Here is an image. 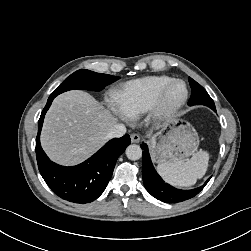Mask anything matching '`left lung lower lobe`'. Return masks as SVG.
Listing matches in <instances>:
<instances>
[{
  "instance_id": "obj_1",
  "label": "left lung lower lobe",
  "mask_w": 251,
  "mask_h": 251,
  "mask_svg": "<svg viewBox=\"0 0 251 251\" xmlns=\"http://www.w3.org/2000/svg\"><path fill=\"white\" fill-rule=\"evenodd\" d=\"M216 112V108L212 109ZM143 150L142 155V176L143 183L147 191L156 199L165 203H178L188 200L196 196L208 183L210 178L200 187L192 190H180L172 187L171 185L164 183L162 178L155 171L149 151L148 146L143 143L141 145Z\"/></svg>"
}]
</instances>
